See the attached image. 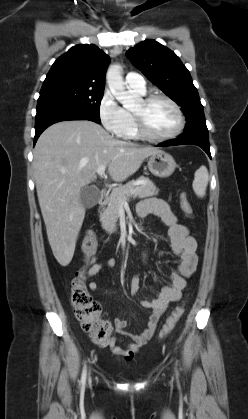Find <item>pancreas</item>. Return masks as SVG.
I'll return each instance as SVG.
<instances>
[{
  "label": "pancreas",
  "mask_w": 248,
  "mask_h": 419,
  "mask_svg": "<svg viewBox=\"0 0 248 419\" xmlns=\"http://www.w3.org/2000/svg\"><path fill=\"white\" fill-rule=\"evenodd\" d=\"M137 181H143V184L135 185ZM133 191V192H132ZM158 189L154 183L147 177L140 176L125 185L115 188L107 199L108 206L100 214V221L103 229L112 234L116 232V222L119 217V210L124 202L130 197L146 198L158 194Z\"/></svg>",
  "instance_id": "1"
}]
</instances>
